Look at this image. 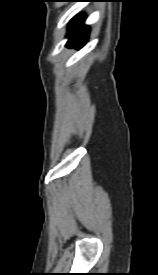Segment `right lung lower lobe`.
I'll return each instance as SVG.
<instances>
[{
	"label": "right lung lower lobe",
	"mask_w": 158,
	"mask_h": 275,
	"mask_svg": "<svg viewBox=\"0 0 158 275\" xmlns=\"http://www.w3.org/2000/svg\"><path fill=\"white\" fill-rule=\"evenodd\" d=\"M86 17L79 15L74 17L69 24L67 46L80 48L88 39L89 27L84 25Z\"/></svg>",
	"instance_id": "right-lung-lower-lobe-1"
}]
</instances>
